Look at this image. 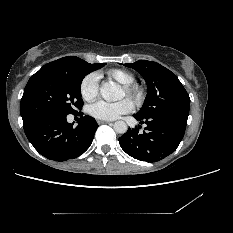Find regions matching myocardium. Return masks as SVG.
Here are the masks:
<instances>
[{
    "instance_id": "myocardium-1",
    "label": "myocardium",
    "mask_w": 233,
    "mask_h": 233,
    "mask_svg": "<svg viewBox=\"0 0 233 233\" xmlns=\"http://www.w3.org/2000/svg\"><path fill=\"white\" fill-rule=\"evenodd\" d=\"M125 95L136 105L143 103L145 99V90L143 86L137 82L123 85Z\"/></svg>"
}]
</instances>
